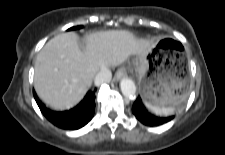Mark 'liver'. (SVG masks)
<instances>
[{
	"label": "liver",
	"mask_w": 225,
	"mask_h": 155,
	"mask_svg": "<svg viewBox=\"0 0 225 155\" xmlns=\"http://www.w3.org/2000/svg\"><path fill=\"white\" fill-rule=\"evenodd\" d=\"M154 47V42L125 30L92 33L85 49L79 47L75 33L59 34L37 55L35 91L51 108L69 109L83 99L102 68L117 66L130 55L144 58Z\"/></svg>",
	"instance_id": "obj_1"
}]
</instances>
